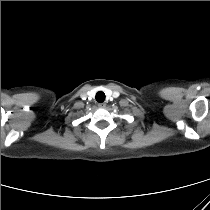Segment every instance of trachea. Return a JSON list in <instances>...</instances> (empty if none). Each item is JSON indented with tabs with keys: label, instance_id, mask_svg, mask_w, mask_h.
Listing matches in <instances>:
<instances>
[{
	"label": "trachea",
	"instance_id": "1",
	"mask_svg": "<svg viewBox=\"0 0 210 210\" xmlns=\"http://www.w3.org/2000/svg\"><path fill=\"white\" fill-rule=\"evenodd\" d=\"M105 100V94L102 91L97 92L96 101L102 103Z\"/></svg>",
	"mask_w": 210,
	"mask_h": 210
}]
</instances>
